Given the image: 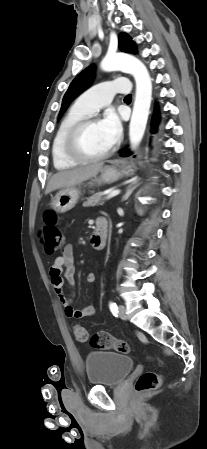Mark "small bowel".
I'll list each match as a JSON object with an SVG mask.
<instances>
[{
  "label": "small bowel",
  "instance_id": "c3829d8e",
  "mask_svg": "<svg viewBox=\"0 0 207 449\" xmlns=\"http://www.w3.org/2000/svg\"><path fill=\"white\" fill-rule=\"evenodd\" d=\"M50 276L54 291L63 305L66 316L81 319L95 314L94 304H89L80 310L74 309L72 305L73 296H67L65 293L64 279L71 286L75 284L74 250L71 244H67L62 254L54 260L50 268ZM86 279L87 282L93 284L96 280L95 274L88 273Z\"/></svg>",
  "mask_w": 207,
  "mask_h": 449
}]
</instances>
